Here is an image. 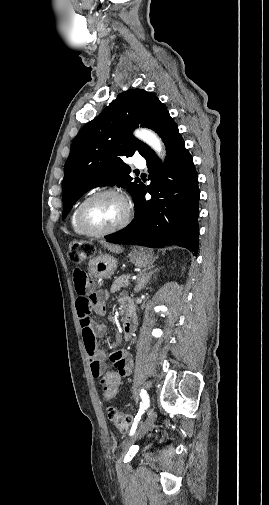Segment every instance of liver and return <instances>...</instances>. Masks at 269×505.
Segmentation results:
<instances>
[{"mask_svg":"<svg viewBox=\"0 0 269 505\" xmlns=\"http://www.w3.org/2000/svg\"><path fill=\"white\" fill-rule=\"evenodd\" d=\"M107 248L114 253H121L123 251V248L117 245H108Z\"/></svg>","mask_w":269,"mask_h":505,"instance_id":"obj_1","label":"liver"}]
</instances>
